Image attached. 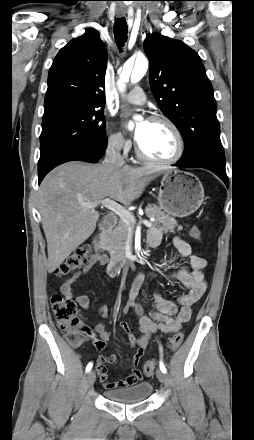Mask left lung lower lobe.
<instances>
[{
    "instance_id": "0a47b994",
    "label": "left lung lower lobe",
    "mask_w": 254,
    "mask_h": 440,
    "mask_svg": "<svg viewBox=\"0 0 254 440\" xmlns=\"http://www.w3.org/2000/svg\"><path fill=\"white\" fill-rule=\"evenodd\" d=\"M173 166L179 168L198 167L208 169L219 176L227 187L229 186V180L225 170V154L219 151H206L188 160L180 159Z\"/></svg>"
}]
</instances>
